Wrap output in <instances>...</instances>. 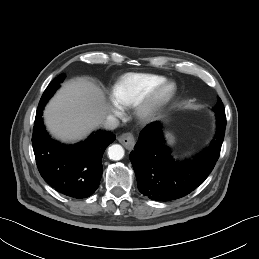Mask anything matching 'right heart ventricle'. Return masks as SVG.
I'll use <instances>...</instances> for the list:
<instances>
[{
    "label": "right heart ventricle",
    "mask_w": 259,
    "mask_h": 259,
    "mask_svg": "<svg viewBox=\"0 0 259 259\" xmlns=\"http://www.w3.org/2000/svg\"><path fill=\"white\" fill-rule=\"evenodd\" d=\"M166 81L164 76L147 73H129L112 87L111 97L120 109L131 107L142 95Z\"/></svg>",
    "instance_id": "right-heart-ventricle-1"
}]
</instances>
